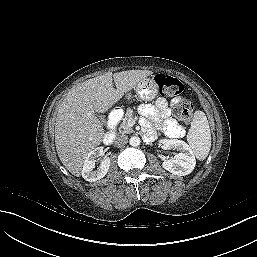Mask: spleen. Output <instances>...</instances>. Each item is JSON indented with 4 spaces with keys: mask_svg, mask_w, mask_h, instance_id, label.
Returning <instances> with one entry per match:
<instances>
[{
    "mask_svg": "<svg viewBox=\"0 0 257 257\" xmlns=\"http://www.w3.org/2000/svg\"><path fill=\"white\" fill-rule=\"evenodd\" d=\"M187 142L193 155L204 160L211 148V133L207 117L203 111H196L187 134Z\"/></svg>",
    "mask_w": 257,
    "mask_h": 257,
    "instance_id": "3e777b00",
    "label": "spleen"
}]
</instances>
